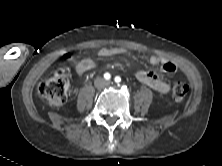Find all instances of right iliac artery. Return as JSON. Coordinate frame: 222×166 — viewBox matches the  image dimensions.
<instances>
[{"label":"right iliac artery","mask_w":222,"mask_h":166,"mask_svg":"<svg viewBox=\"0 0 222 166\" xmlns=\"http://www.w3.org/2000/svg\"><path fill=\"white\" fill-rule=\"evenodd\" d=\"M104 78H105L106 80H110L111 75L107 72V73L104 74Z\"/></svg>","instance_id":"82829eb1"}]
</instances>
